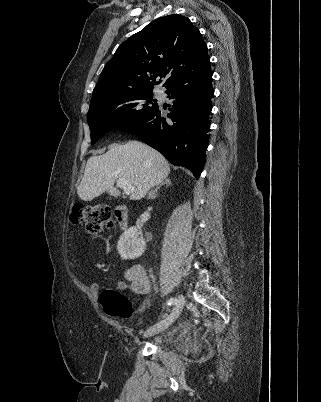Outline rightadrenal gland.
<instances>
[{"label": "right adrenal gland", "mask_w": 321, "mask_h": 402, "mask_svg": "<svg viewBox=\"0 0 321 402\" xmlns=\"http://www.w3.org/2000/svg\"><path fill=\"white\" fill-rule=\"evenodd\" d=\"M166 185V187L171 185V181L169 178L165 179L159 186H157L154 190H151L148 194V198H155L157 191L161 188V186Z\"/></svg>", "instance_id": "2a0ac1e0"}]
</instances>
